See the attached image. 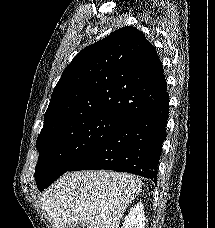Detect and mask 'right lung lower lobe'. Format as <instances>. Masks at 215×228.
Returning a JSON list of instances; mask_svg holds the SVG:
<instances>
[{
    "label": "right lung lower lobe",
    "instance_id": "1",
    "mask_svg": "<svg viewBox=\"0 0 215 228\" xmlns=\"http://www.w3.org/2000/svg\"><path fill=\"white\" fill-rule=\"evenodd\" d=\"M168 103L167 97L124 119L68 171L129 172L157 184L162 144L166 139Z\"/></svg>",
    "mask_w": 215,
    "mask_h": 228
}]
</instances>
